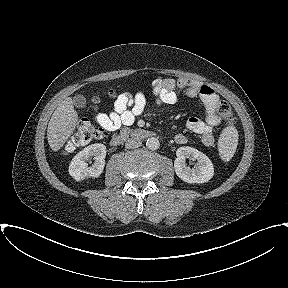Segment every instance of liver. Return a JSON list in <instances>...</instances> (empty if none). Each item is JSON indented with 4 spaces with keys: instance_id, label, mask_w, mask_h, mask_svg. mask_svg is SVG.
Here are the masks:
<instances>
[{
    "instance_id": "liver-1",
    "label": "liver",
    "mask_w": 288,
    "mask_h": 288,
    "mask_svg": "<svg viewBox=\"0 0 288 288\" xmlns=\"http://www.w3.org/2000/svg\"><path fill=\"white\" fill-rule=\"evenodd\" d=\"M77 124L78 113L74 110V102L71 97H66L60 102L48 124L47 139L50 148L55 152L60 150Z\"/></svg>"
}]
</instances>
